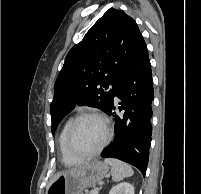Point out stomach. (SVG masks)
Instances as JSON below:
<instances>
[{
	"label": "stomach",
	"instance_id": "0dacf381",
	"mask_svg": "<svg viewBox=\"0 0 201 194\" xmlns=\"http://www.w3.org/2000/svg\"><path fill=\"white\" fill-rule=\"evenodd\" d=\"M108 170L106 164L93 161L58 176L48 187L46 194H80L106 177Z\"/></svg>",
	"mask_w": 201,
	"mask_h": 194
}]
</instances>
